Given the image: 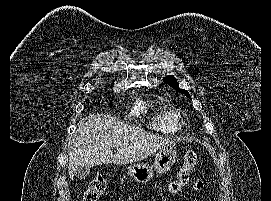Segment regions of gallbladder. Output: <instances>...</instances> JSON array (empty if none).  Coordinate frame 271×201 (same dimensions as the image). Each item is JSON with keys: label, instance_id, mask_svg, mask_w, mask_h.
I'll use <instances>...</instances> for the list:
<instances>
[{"label": "gallbladder", "instance_id": "1", "mask_svg": "<svg viewBox=\"0 0 271 201\" xmlns=\"http://www.w3.org/2000/svg\"><path fill=\"white\" fill-rule=\"evenodd\" d=\"M90 170L85 167H77L75 176L79 179H85L87 176H89Z\"/></svg>", "mask_w": 271, "mask_h": 201}]
</instances>
